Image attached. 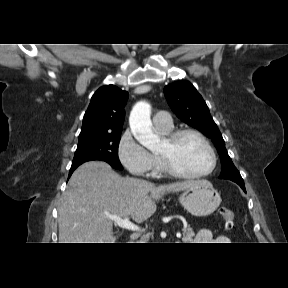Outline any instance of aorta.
I'll return each instance as SVG.
<instances>
[{
	"instance_id": "obj_1",
	"label": "aorta",
	"mask_w": 288,
	"mask_h": 288,
	"mask_svg": "<svg viewBox=\"0 0 288 288\" xmlns=\"http://www.w3.org/2000/svg\"><path fill=\"white\" fill-rule=\"evenodd\" d=\"M150 114V105L140 101L130 113L129 124L135 139L146 148L154 150L159 146L160 139L152 130Z\"/></svg>"
}]
</instances>
